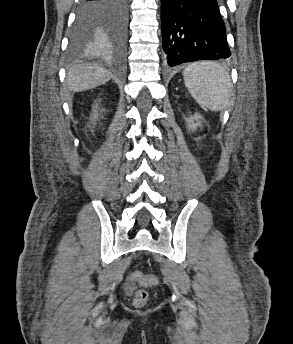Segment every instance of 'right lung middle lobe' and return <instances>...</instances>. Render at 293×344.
<instances>
[{"label":"right lung middle lobe","instance_id":"dd1d6c3e","mask_svg":"<svg viewBox=\"0 0 293 344\" xmlns=\"http://www.w3.org/2000/svg\"><path fill=\"white\" fill-rule=\"evenodd\" d=\"M114 15L101 16L92 11H86L79 6L77 19L72 30L71 45L74 49H80L90 45H96L97 34L105 21H114ZM111 42L109 41V44Z\"/></svg>","mask_w":293,"mask_h":344}]
</instances>
